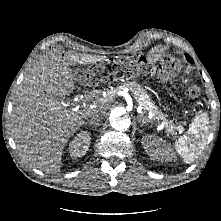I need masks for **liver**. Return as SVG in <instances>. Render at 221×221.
I'll return each mask as SVG.
<instances>
[{"label":"liver","mask_w":221,"mask_h":221,"mask_svg":"<svg viewBox=\"0 0 221 221\" xmlns=\"http://www.w3.org/2000/svg\"><path fill=\"white\" fill-rule=\"evenodd\" d=\"M105 56L51 50L33 64L18 86L11 114V133L19 154L46 173H57L69 138L94 109L103 116L104 100L83 109L69 106L64 97L76 88L70 66L94 64Z\"/></svg>","instance_id":"1"}]
</instances>
